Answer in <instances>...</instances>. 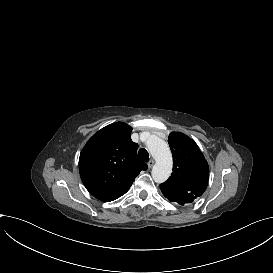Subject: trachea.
Here are the masks:
<instances>
[{"mask_svg":"<svg viewBox=\"0 0 273 273\" xmlns=\"http://www.w3.org/2000/svg\"><path fill=\"white\" fill-rule=\"evenodd\" d=\"M138 157L141 161L143 162H148L149 161V153L146 149L141 148L138 153Z\"/></svg>","mask_w":273,"mask_h":273,"instance_id":"trachea-1","label":"trachea"}]
</instances>
